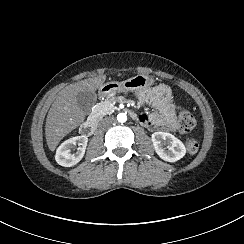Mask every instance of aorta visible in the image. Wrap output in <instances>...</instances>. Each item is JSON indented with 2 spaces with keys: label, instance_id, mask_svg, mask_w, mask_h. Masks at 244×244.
I'll return each instance as SVG.
<instances>
[{
  "label": "aorta",
  "instance_id": "762f6f07",
  "mask_svg": "<svg viewBox=\"0 0 244 244\" xmlns=\"http://www.w3.org/2000/svg\"><path fill=\"white\" fill-rule=\"evenodd\" d=\"M117 120H118V122H121V123L126 122L127 115L125 113H119L117 115Z\"/></svg>",
  "mask_w": 244,
  "mask_h": 244
}]
</instances>
